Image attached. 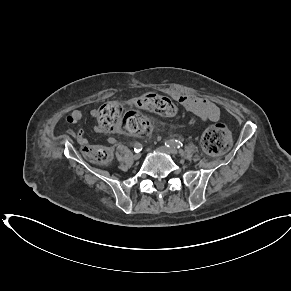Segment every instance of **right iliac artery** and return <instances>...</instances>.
<instances>
[{
    "label": "right iliac artery",
    "instance_id": "obj_1",
    "mask_svg": "<svg viewBox=\"0 0 291 291\" xmlns=\"http://www.w3.org/2000/svg\"><path fill=\"white\" fill-rule=\"evenodd\" d=\"M142 150V144L140 143H136L135 146H134V151L136 153L140 152Z\"/></svg>",
    "mask_w": 291,
    "mask_h": 291
}]
</instances>
